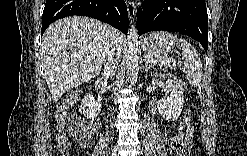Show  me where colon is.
<instances>
[{
	"label": "colon",
	"instance_id": "5ec220e1",
	"mask_svg": "<svg viewBox=\"0 0 247 156\" xmlns=\"http://www.w3.org/2000/svg\"><path fill=\"white\" fill-rule=\"evenodd\" d=\"M78 98V92H72L66 96V98L58 104L55 113V123H56V148L60 155L67 156L70 153V142L67 137L66 128L69 123V118L67 116L66 110L68 106ZM192 113L188 110L181 121L177 133L179 135L184 134L188 128L191 126ZM187 151L183 148H178L176 150V155H186Z\"/></svg>",
	"mask_w": 247,
	"mask_h": 156
}]
</instances>
